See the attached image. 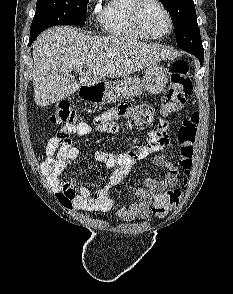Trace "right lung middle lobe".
Returning <instances> with one entry per match:
<instances>
[{
	"mask_svg": "<svg viewBox=\"0 0 233 294\" xmlns=\"http://www.w3.org/2000/svg\"><path fill=\"white\" fill-rule=\"evenodd\" d=\"M88 1L37 0L30 38H36L44 29L55 25H84Z\"/></svg>",
	"mask_w": 233,
	"mask_h": 294,
	"instance_id": "right-lung-middle-lobe-1",
	"label": "right lung middle lobe"
}]
</instances>
